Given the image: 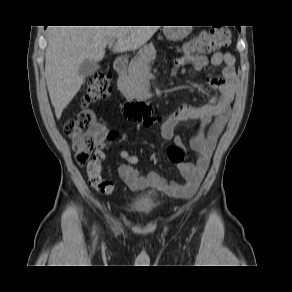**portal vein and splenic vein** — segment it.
<instances>
[{"label": "portal vein and splenic vein", "mask_w": 292, "mask_h": 292, "mask_svg": "<svg viewBox=\"0 0 292 292\" xmlns=\"http://www.w3.org/2000/svg\"><path fill=\"white\" fill-rule=\"evenodd\" d=\"M113 44H114V42H110V43H109V46H110V47H112V46H113ZM148 69H149V67H146V69H145V70H148Z\"/></svg>", "instance_id": "1"}]
</instances>
